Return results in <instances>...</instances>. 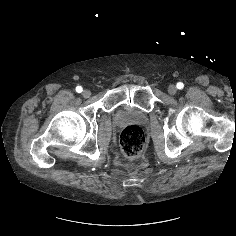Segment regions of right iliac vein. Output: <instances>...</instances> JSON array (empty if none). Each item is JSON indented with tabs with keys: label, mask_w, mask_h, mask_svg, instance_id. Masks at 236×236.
Wrapping results in <instances>:
<instances>
[{
	"label": "right iliac vein",
	"mask_w": 236,
	"mask_h": 236,
	"mask_svg": "<svg viewBox=\"0 0 236 236\" xmlns=\"http://www.w3.org/2000/svg\"><path fill=\"white\" fill-rule=\"evenodd\" d=\"M82 96L84 97V98H89L90 96H91V92H90V90H84L83 92H82Z\"/></svg>",
	"instance_id": "63e3f726"
}]
</instances>
